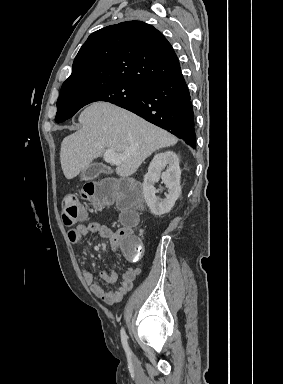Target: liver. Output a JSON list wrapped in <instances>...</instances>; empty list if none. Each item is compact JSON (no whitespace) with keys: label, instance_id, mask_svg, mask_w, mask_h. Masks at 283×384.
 <instances>
[{"label":"liver","instance_id":"obj_1","mask_svg":"<svg viewBox=\"0 0 283 384\" xmlns=\"http://www.w3.org/2000/svg\"><path fill=\"white\" fill-rule=\"evenodd\" d=\"M78 122L81 130L61 144L60 162L67 180L76 178L106 150L129 154L116 168L118 176L128 178L153 152L178 142L169 132L109 102H94L81 112Z\"/></svg>","mask_w":283,"mask_h":384}]
</instances>
